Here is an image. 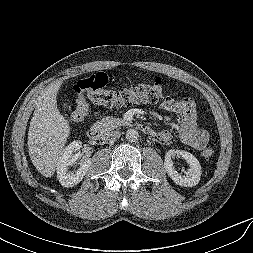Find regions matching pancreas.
Returning a JSON list of instances; mask_svg holds the SVG:
<instances>
[{"instance_id":"pancreas-1","label":"pancreas","mask_w":253,"mask_h":253,"mask_svg":"<svg viewBox=\"0 0 253 253\" xmlns=\"http://www.w3.org/2000/svg\"><path fill=\"white\" fill-rule=\"evenodd\" d=\"M101 132L105 133L109 130L115 129L118 126L127 125V122L120 118H103L101 121H97L95 124Z\"/></svg>"}]
</instances>
